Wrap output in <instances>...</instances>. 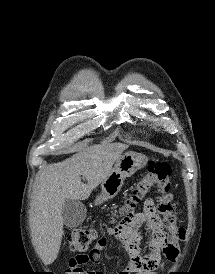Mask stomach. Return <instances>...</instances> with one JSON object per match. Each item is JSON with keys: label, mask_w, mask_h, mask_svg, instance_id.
<instances>
[{"label": "stomach", "mask_w": 215, "mask_h": 274, "mask_svg": "<svg viewBox=\"0 0 215 274\" xmlns=\"http://www.w3.org/2000/svg\"><path fill=\"white\" fill-rule=\"evenodd\" d=\"M147 163L145 155L126 152L116 161L110 175L101 183V194L96 197L95 204L100 205L115 197L121 190L124 180L133 175Z\"/></svg>", "instance_id": "0dacf381"}]
</instances>
